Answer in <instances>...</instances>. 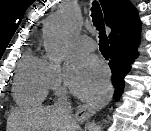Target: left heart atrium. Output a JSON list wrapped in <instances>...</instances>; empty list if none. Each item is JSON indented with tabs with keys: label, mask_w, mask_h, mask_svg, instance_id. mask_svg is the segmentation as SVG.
<instances>
[{
	"label": "left heart atrium",
	"mask_w": 151,
	"mask_h": 131,
	"mask_svg": "<svg viewBox=\"0 0 151 131\" xmlns=\"http://www.w3.org/2000/svg\"><path fill=\"white\" fill-rule=\"evenodd\" d=\"M108 74L95 57L78 53L71 59L68 81L72 93L84 100L98 97L105 89Z\"/></svg>",
	"instance_id": "left-heart-atrium-1"
}]
</instances>
